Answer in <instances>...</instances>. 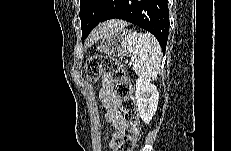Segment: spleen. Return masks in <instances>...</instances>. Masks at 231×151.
Returning <instances> with one entry per match:
<instances>
[{
    "label": "spleen",
    "instance_id": "3e777b00",
    "mask_svg": "<svg viewBox=\"0 0 231 151\" xmlns=\"http://www.w3.org/2000/svg\"><path fill=\"white\" fill-rule=\"evenodd\" d=\"M126 47L135 73L147 81L156 79L161 66V47L150 33L129 32Z\"/></svg>",
    "mask_w": 231,
    "mask_h": 151
}]
</instances>
